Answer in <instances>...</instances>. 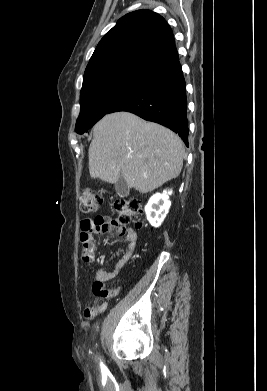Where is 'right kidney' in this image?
<instances>
[{"instance_id": "right-kidney-1", "label": "right kidney", "mask_w": 267, "mask_h": 391, "mask_svg": "<svg viewBox=\"0 0 267 391\" xmlns=\"http://www.w3.org/2000/svg\"><path fill=\"white\" fill-rule=\"evenodd\" d=\"M171 194L172 190H164L163 193H156L149 199L145 206V212L147 220L152 226L159 227L165 219L171 206L169 200V195Z\"/></svg>"}]
</instances>
